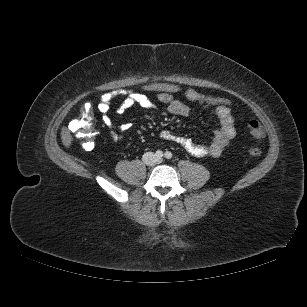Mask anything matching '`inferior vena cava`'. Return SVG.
Listing matches in <instances>:
<instances>
[{
    "mask_svg": "<svg viewBox=\"0 0 307 307\" xmlns=\"http://www.w3.org/2000/svg\"><path fill=\"white\" fill-rule=\"evenodd\" d=\"M142 160L146 165H155L158 162V158L153 152H146L142 156Z\"/></svg>",
    "mask_w": 307,
    "mask_h": 307,
    "instance_id": "602c4592",
    "label": "inferior vena cava"
}]
</instances>
